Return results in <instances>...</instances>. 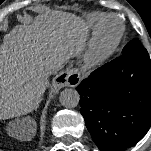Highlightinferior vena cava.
<instances>
[{
    "mask_svg": "<svg viewBox=\"0 0 151 151\" xmlns=\"http://www.w3.org/2000/svg\"><path fill=\"white\" fill-rule=\"evenodd\" d=\"M59 69H60V65L59 64H55V65H53V67L51 69V72H55V71H57Z\"/></svg>",
    "mask_w": 151,
    "mask_h": 151,
    "instance_id": "602c4592",
    "label": "inferior vena cava"
}]
</instances>
